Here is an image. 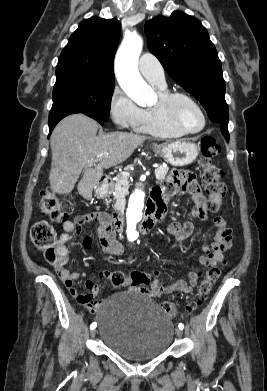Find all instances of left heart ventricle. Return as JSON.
Wrapping results in <instances>:
<instances>
[{"label": "left heart ventricle", "mask_w": 267, "mask_h": 391, "mask_svg": "<svg viewBox=\"0 0 267 391\" xmlns=\"http://www.w3.org/2000/svg\"><path fill=\"white\" fill-rule=\"evenodd\" d=\"M173 113L179 123L188 130L195 131L202 126V116L190 102L179 99L173 105Z\"/></svg>", "instance_id": "b2bd125f"}]
</instances>
